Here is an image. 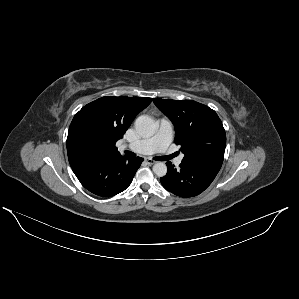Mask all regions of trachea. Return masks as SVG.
Segmentation results:
<instances>
[{
  "label": "trachea",
  "instance_id": "3493384b",
  "mask_svg": "<svg viewBox=\"0 0 299 299\" xmlns=\"http://www.w3.org/2000/svg\"><path fill=\"white\" fill-rule=\"evenodd\" d=\"M125 154L129 157H135L136 154L131 152V151H125ZM175 155H169V156H157V157H154V160H157V161H167V160H170L171 158H173Z\"/></svg>",
  "mask_w": 299,
  "mask_h": 299
}]
</instances>
